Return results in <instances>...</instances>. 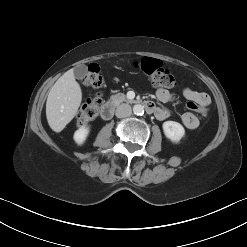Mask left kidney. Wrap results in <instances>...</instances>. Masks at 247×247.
<instances>
[{"mask_svg": "<svg viewBox=\"0 0 247 247\" xmlns=\"http://www.w3.org/2000/svg\"><path fill=\"white\" fill-rule=\"evenodd\" d=\"M165 136L172 142H179L185 135L184 127L175 121H166L162 125Z\"/></svg>", "mask_w": 247, "mask_h": 247, "instance_id": "left-kidney-1", "label": "left kidney"}]
</instances>
